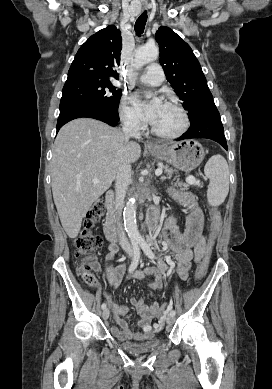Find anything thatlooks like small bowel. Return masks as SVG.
I'll return each instance as SVG.
<instances>
[{"label":"small bowel","instance_id":"obj_1","mask_svg":"<svg viewBox=\"0 0 272 389\" xmlns=\"http://www.w3.org/2000/svg\"><path fill=\"white\" fill-rule=\"evenodd\" d=\"M172 195L180 204L186 207L185 229L183 232H180L175 220L172 218L168 221L163 231V237L168 250L167 258H173L177 262L176 275L180 279L186 280L190 274L191 262L194 260L198 263L206 250V241L203 236L204 220L202 212L191 194L173 191ZM116 253L117 246L112 244L108 256L106 276L113 287H117L120 284L125 273V266L123 264L113 265V258ZM92 269L100 271L99 263L94 261L92 263ZM134 276L139 279L145 276L153 277V282L150 287L154 291H159L163 289L164 280L168 277L167 266L163 261H160L156 267H149L143 272L135 273ZM130 303L140 317L138 324L141 327V331H132L128 322L121 317L128 311L126 306L113 304L116 326L111 328V333L119 340L130 339L133 341H142L151 338L155 331L161 327V325L152 323L159 309V304L157 302L146 304L142 299L134 297L130 299Z\"/></svg>","mask_w":272,"mask_h":389}]
</instances>
